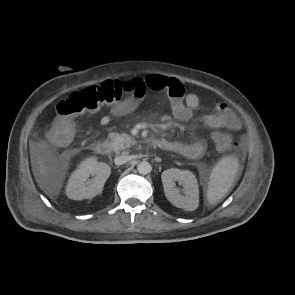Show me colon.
Returning a JSON list of instances; mask_svg holds the SVG:
<instances>
[{
	"instance_id": "1",
	"label": "colon",
	"mask_w": 295,
	"mask_h": 295,
	"mask_svg": "<svg viewBox=\"0 0 295 295\" xmlns=\"http://www.w3.org/2000/svg\"><path fill=\"white\" fill-rule=\"evenodd\" d=\"M134 91L135 84L132 80H110L71 93L57 105L59 118L48 132L49 140L59 146L67 145L73 137V117L97 111L103 106L118 104ZM212 138L216 148L221 151L240 147L227 133L217 132Z\"/></svg>"
}]
</instances>
